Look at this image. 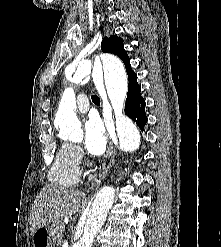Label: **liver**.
I'll return each instance as SVG.
<instances>
[{
    "label": "liver",
    "mask_w": 221,
    "mask_h": 247,
    "mask_svg": "<svg viewBox=\"0 0 221 247\" xmlns=\"http://www.w3.org/2000/svg\"><path fill=\"white\" fill-rule=\"evenodd\" d=\"M84 193L74 188L47 185L37 195L30 214L31 233L64 217H70L80 208Z\"/></svg>",
    "instance_id": "obj_1"
}]
</instances>
